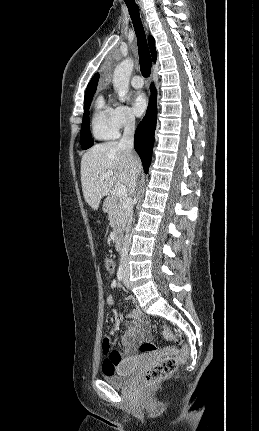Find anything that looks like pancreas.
Segmentation results:
<instances>
[{
  "label": "pancreas",
  "instance_id": "1",
  "mask_svg": "<svg viewBox=\"0 0 259 431\" xmlns=\"http://www.w3.org/2000/svg\"><path fill=\"white\" fill-rule=\"evenodd\" d=\"M126 199L113 195L108 201V219L113 233L117 236L125 225L126 221V210H125Z\"/></svg>",
  "mask_w": 259,
  "mask_h": 431
}]
</instances>
